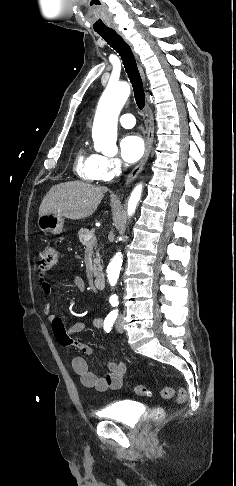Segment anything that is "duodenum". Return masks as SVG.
Masks as SVG:
<instances>
[{"label": "duodenum", "instance_id": "410a0bca", "mask_svg": "<svg viewBox=\"0 0 236 486\" xmlns=\"http://www.w3.org/2000/svg\"><path fill=\"white\" fill-rule=\"evenodd\" d=\"M94 285L99 290H103L105 288V276L103 273L99 272L95 275Z\"/></svg>", "mask_w": 236, "mask_h": 486}]
</instances>
